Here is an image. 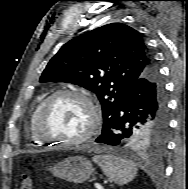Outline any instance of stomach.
<instances>
[{
    "label": "stomach",
    "mask_w": 188,
    "mask_h": 189,
    "mask_svg": "<svg viewBox=\"0 0 188 189\" xmlns=\"http://www.w3.org/2000/svg\"><path fill=\"white\" fill-rule=\"evenodd\" d=\"M50 171L62 179L74 183H82L90 178L94 169L88 159L74 156L55 164L50 168Z\"/></svg>",
    "instance_id": "stomach-1"
}]
</instances>
